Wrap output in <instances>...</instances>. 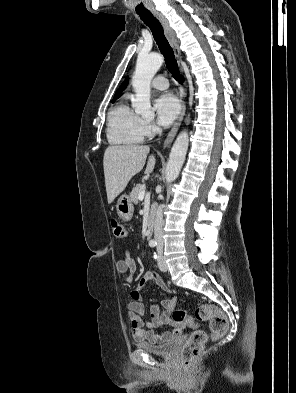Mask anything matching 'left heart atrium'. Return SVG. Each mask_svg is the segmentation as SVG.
<instances>
[{
	"label": "left heart atrium",
	"instance_id": "left-heart-atrium-1",
	"mask_svg": "<svg viewBox=\"0 0 296 393\" xmlns=\"http://www.w3.org/2000/svg\"><path fill=\"white\" fill-rule=\"evenodd\" d=\"M158 122L162 126H169L179 113V103L171 94L161 95L154 104Z\"/></svg>",
	"mask_w": 296,
	"mask_h": 393
}]
</instances>
